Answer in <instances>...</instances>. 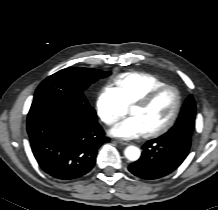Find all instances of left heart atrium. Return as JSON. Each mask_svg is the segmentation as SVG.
Returning <instances> with one entry per match:
<instances>
[{
    "label": "left heart atrium",
    "instance_id": "1",
    "mask_svg": "<svg viewBox=\"0 0 218 210\" xmlns=\"http://www.w3.org/2000/svg\"><path fill=\"white\" fill-rule=\"evenodd\" d=\"M110 133L116 137L132 139L145 135L147 131L139 117L131 116L114 126Z\"/></svg>",
    "mask_w": 218,
    "mask_h": 210
}]
</instances>
